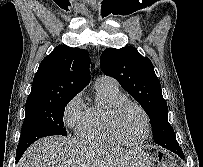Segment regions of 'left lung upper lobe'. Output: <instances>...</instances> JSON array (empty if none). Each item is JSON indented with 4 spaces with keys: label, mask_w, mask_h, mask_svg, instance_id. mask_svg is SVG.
<instances>
[{
    "label": "left lung upper lobe",
    "mask_w": 203,
    "mask_h": 167,
    "mask_svg": "<svg viewBox=\"0 0 203 167\" xmlns=\"http://www.w3.org/2000/svg\"><path fill=\"white\" fill-rule=\"evenodd\" d=\"M100 67L105 75L115 78L141 104L150 118L156 143L166 137L176 138L168 122V107L160 81L149 58L132 46L108 48L101 55Z\"/></svg>",
    "instance_id": "1"
}]
</instances>
